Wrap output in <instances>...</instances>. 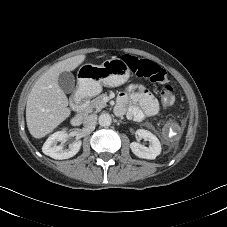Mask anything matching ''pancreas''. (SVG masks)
Here are the masks:
<instances>
[{"mask_svg":"<svg viewBox=\"0 0 227 227\" xmlns=\"http://www.w3.org/2000/svg\"><path fill=\"white\" fill-rule=\"evenodd\" d=\"M105 95H99L98 97L94 98L89 106L85 109L86 113H90L92 111L94 112H99L101 109L107 106L106 102L104 101Z\"/></svg>","mask_w":227,"mask_h":227,"instance_id":"1","label":"pancreas"}]
</instances>
